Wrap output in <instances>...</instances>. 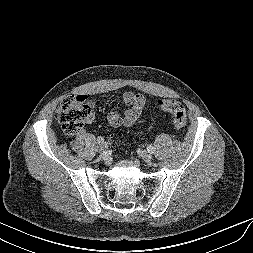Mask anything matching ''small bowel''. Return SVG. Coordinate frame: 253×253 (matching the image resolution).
<instances>
[{"instance_id":"small-bowel-1","label":"small bowel","mask_w":253,"mask_h":253,"mask_svg":"<svg viewBox=\"0 0 253 253\" xmlns=\"http://www.w3.org/2000/svg\"><path fill=\"white\" fill-rule=\"evenodd\" d=\"M123 102L128 107L124 117H121L114 110L107 113V120L112 127H131L138 124L143 119V110L146 105V99L143 95L127 91L123 94Z\"/></svg>"}]
</instances>
